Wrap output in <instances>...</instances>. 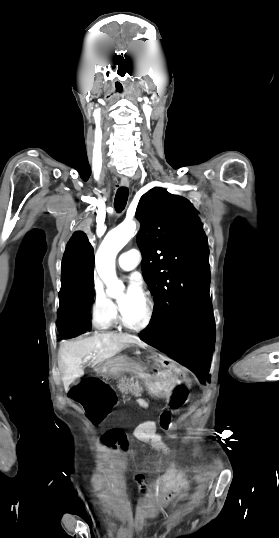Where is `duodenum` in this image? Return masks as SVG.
<instances>
[{"instance_id":"duodenum-1","label":"duodenum","mask_w":279,"mask_h":538,"mask_svg":"<svg viewBox=\"0 0 279 538\" xmlns=\"http://www.w3.org/2000/svg\"><path fill=\"white\" fill-rule=\"evenodd\" d=\"M101 372L106 374H114L116 371H119L121 374H134L135 382H142V385L147 391H150L152 387H157L159 382L156 380L157 372H148V365L134 364H101L98 368H93L89 376L91 379L96 380L99 378ZM138 370V371H137ZM140 406H145V401H140ZM145 409H149V406H145Z\"/></svg>"}]
</instances>
